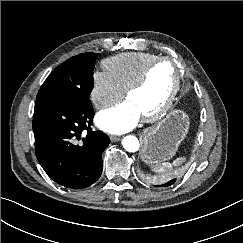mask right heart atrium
I'll list each match as a JSON object with an SVG mask.
<instances>
[{"label":"right heart atrium","instance_id":"1","mask_svg":"<svg viewBox=\"0 0 243 243\" xmlns=\"http://www.w3.org/2000/svg\"><path fill=\"white\" fill-rule=\"evenodd\" d=\"M123 92L107 70H97L93 73L90 99L96 108H103L116 101Z\"/></svg>","mask_w":243,"mask_h":243}]
</instances>
